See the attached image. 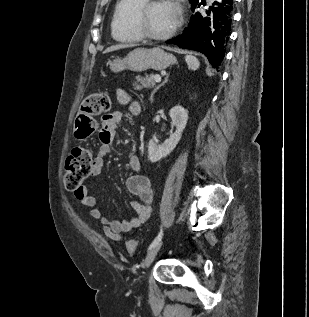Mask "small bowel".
Here are the masks:
<instances>
[{
    "instance_id": "1",
    "label": "small bowel",
    "mask_w": 309,
    "mask_h": 317,
    "mask_svg": "<svg viewBox=\"0 0 309 317\" xmlns=\"http://www.w3.org/2000/svg\"><path fill=\"white\" fill-rule=\"evenodd\" d=\"M117 96L120 102L129 104L130 111L133 114L140 112L137 102H131L130 97L122 90H118ZM121 112H112L105 115L102 119V128L99 133L100 146L96 158L94 159L91 174L98 176L103 168L104 158L112 151V146L116 137V129L122 121ZM133 174L126 180L127 190L138 197V200L132 204L135 215L128 220H109L106 218L101 209L96 207V198L89 193L86 186H82L74 192L75 198L84 206L92 208L91 216L103 225V233L110 239L120 241L125 239L126 234L144 223L150 216L153 203V190L147 177L139 173V161L137 157L132 156L129 162Z\"/></svg>"
}]
</instances>
